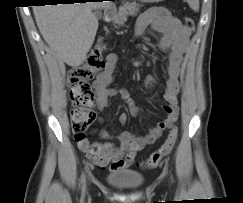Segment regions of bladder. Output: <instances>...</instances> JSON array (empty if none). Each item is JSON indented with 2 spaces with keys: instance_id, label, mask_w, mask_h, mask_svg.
Wrapping results in <instances>:
<instances>
[{
  "instance_id": "31cf9c89",
  "label": "bladder",
  "mask_w": 243,
  "mask_h": 203,
  "mask_svg": "<svg viewBox=\"0 0 243 203\" xmlns=\"http://www.w3.org/2000/svg\"><path fill=\"white\" fill-rule=\"evenodd\" d=\"M105 180L119 190H134L143 184L144 176L133 169H119L107 174Z\"/></svg>"
}]
</instances>
